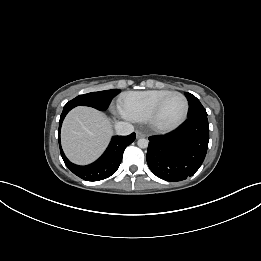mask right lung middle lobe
<instances>
[{"mask_svg":"<svg viewBox=\"0 0 261 261\" xmlns=\"http://www.w3.org/2000/svg\"><path fill=\"white\" fill-rule=\"evenodd\" d=\"M120 92L119 89L91 92L79 95L69 101L64 108H74L78 105L90 106L98 110H106L112 99Z\"/></svg>","mask_w":261,"mask_h":261,"instance_id":"1","label":"right lung middle lobe"}]
</instances>
